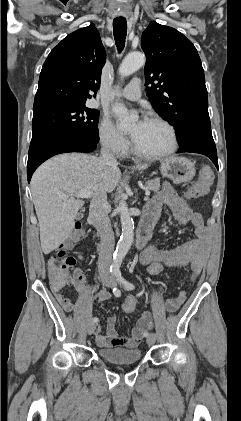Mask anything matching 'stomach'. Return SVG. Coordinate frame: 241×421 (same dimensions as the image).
<instances>
[{"label":"stomach","mask_w":241,"mask_h":421,"mask_svg":"<svg viewBox=\"0 0 241 421\" xmlns=\"http://www.w3.org/2000/svg\"><path fill=\"white\" fill-rule=\"evenodd\" d=\"M160 172L174 182H188L195 176V166L185 157L173 156L161 161Z\"/></svg>","instance_id":"stomach-1"}]
</instances>
